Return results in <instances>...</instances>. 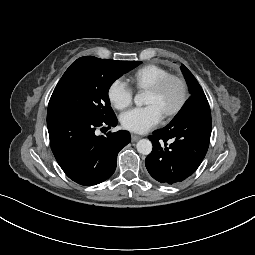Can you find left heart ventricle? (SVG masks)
<instances>
[{"label": "left heart ventricle", "mask_w": 255, "mask_h": 255, "mask_svg": "<svg viewBox=\"0 0 255 255\" xmlns=\"http://www.w3.org/2000/svg\"><path fill=\"white\" fill-rule=\"evenodd\" d=\"M181 89L176 81H172L159 93L147 91L146 104H155L164 114L166 111L172 109L180 99Z\"/></svg>", "instance_id": "1"}]
</instances>
